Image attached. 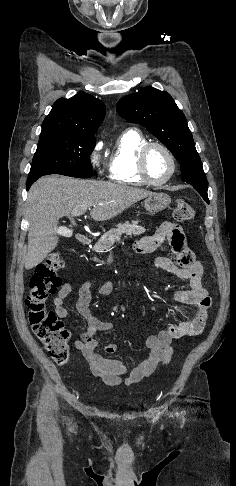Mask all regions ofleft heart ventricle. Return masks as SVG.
<instances>
[{
  "mask_svg": "<svg viewBox=\"0 0 236 486\" xmlns=\"http://www.w3.org/2000/svg\"><path fill=\"white\" fill-rule=\"evenodd\" d=\"M146 168L152 180H163L170 172L171 164L163 150L153 147L146 158Z\"/></svg>",
  "mask_w": 236,
  "mask_h": 486,
  "instance_id": "left-heart-ventricle-1",
  "label": "left heart ventricle"
}]
</instances>
